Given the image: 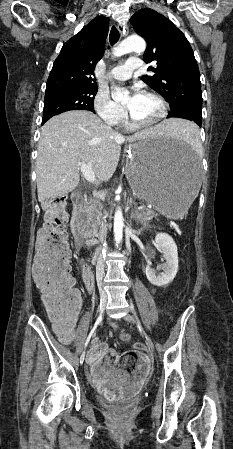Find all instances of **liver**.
Listing matches in <instances>:
<instances>
[{"mask_svg": "<svg viewBox=\"0 0 233 449\" xmlns=\"http://www.w3.org/2000/svg\"><path fill=\"white\" fill-rule=\"evenodd\" d=\"M181 124L168 119L125 138L94 113L68 111L48 120L42 127L36 161L38 200L57 198L79 184V163H92L95 181H108L120 157L121 144L153 135H174Z\"/></svg>", "mask_w": 233, "mask_h": 449, "instance_id": "1", "label": "liver"}]
</instances>
